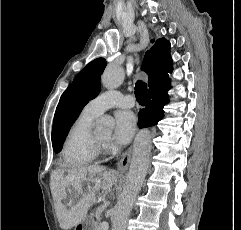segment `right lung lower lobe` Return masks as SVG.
Here are the masks:
<instances>
[{
    "instance_id": "right-lung-lower-lobe-1",
    "label": "right lung lower lobe",
    "mask_w": 241,
    "mask_h": 230,
    "mask_svg": "<svg viewBox=\"0 0 241 230\" xmlns=\"http://www.w3.org/2000/svg\"><path fill=\"white\" fill-rule=\"evenodd\" d=\"M169 88L170 80L168 76L149 88L146 107L138 113V125L140 128L157 124L158 121L163 118V107L169 101V96L167 94Z\"/></svg>"
}]
</instances>
